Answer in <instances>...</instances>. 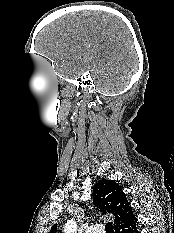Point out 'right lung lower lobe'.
Wrapping results in <instances>:
<instances>
[{
    "mask_svg": "<svg viewBox=\"0 0 174 233\" xmlns=\"http://www.w3.org/2000/svg\"><path fill=\"white\" fill-rule=\"evenodd\" d=\"M123 233H139L137 228V223L134 226L127 229L126 231H124Z\"/></svg>",
    "mask_w": 174,
    "mask_h": 233,
    "instance_id": "right-lung-lower-lobe-1",
    "label": "right lung lower lobe"
}]
</instances>
